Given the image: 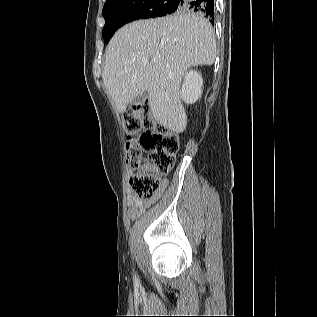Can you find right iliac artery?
Masks as SVG:
<instances>
[{
  "mask_svg": "<svg viewBox=\"0 0 317 317\" xmlns=\"http://www.w3.org/2000/svg\"><path fill=\"white\" fill-rule=\"evenodd\" d=\"M134 282L138 283V278L136 276H134Z\"/></svg>",
  "mask_w": 317,
  "mask_h": 317,
  "instance_id": "82829eb1",
  "label": "right iliac artery"
}]
</instances>
